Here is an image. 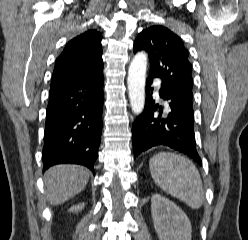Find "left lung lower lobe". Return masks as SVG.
<instances>
[{"label":"left lung lower lobe","mask_w":248,"mask_h":240,"mask_svg":"<svg viewBox=\"0 0 248 240\" xmlns=\"http://www.w3.org/2000/svg\"><path fill=\"white\" fill-rule=\"evenodd\" d=\"M152 80L153 77H149L146 81L145 107L133 123L134 158L151 147L164 145L191 157L201 165L196 150L192 102L179 98L162 85L159 93L167 105L164 107L155 104L152 99ZM163 111L165 114L162 115Z\"/></svg>","instance_id":"obj_1"}]
</instances>
